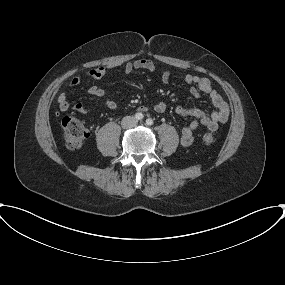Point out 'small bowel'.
Listing matches in <instances>:
<instances>
[{"label": "small bowel", "mask_w": 285, "mask_h": 285, "mask_svg": "<svg viewBox=\"0 0 285 285\" xmlns=\"http://www.w3.org/2000/svg\"><path fill=\"white\" fill-rule=\"evenodd\" d=\"M136 70H146L154 72L156 70V65L153 61L148 59H139L133 62H128L123 66V71L125 74H131ZM107 72V68L100 67L88 70L85 75L88 78L94 80H101ZM170 73L164 72L161 76L163 83H168L170 81ZM184 81L187 84H192L193 87L190 89L189 94L192 97H198L201 93L206 94L210 97L215 110L208 114L202 109L191 108L186 106H178L176 108V113L182 117L192 118L193 120L181 130L180 142L184 147L192 145L194 141V131L199 127L203 126L210 131H216L220 124L228 121L229 118V106L221 94L215 90L208 78L199 77L196 75L188 74L184 77ZM80 83V77H74L71 79L69 86L75 87ZM88 93L98 99L103 101L105 107L111 110L117 108V103L105 97V92L103 89L96 85H92L88 89ZM57 103L61 111H67L70 108V103L67 99L65 93H61L57 98ZM76 112L84 113L88 108L82 102H78L73 106ZM155 112L163 113L166 110V103L159 102L152 108ZM140 111L146 112L149 110L147 106H141Z\"/></svg>", "instance_id": "obj_1"}]
</instances>
